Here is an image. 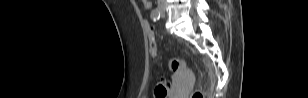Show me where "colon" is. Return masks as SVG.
Instances as JSON below:
<instances>
[{"label": "colon", "instance_id": "colon-1", "mask_svg": "<svg viewBox=\"0 0 308 98\" xmlns=\"http://www.w3.org/2000/svg\"><path fill=\"white\" fill-rule=\"evenodd\" d=\"M143 15L147 14L146 10L142 11ZM145 31H148V40H149V48L151 51V55L154 57L156 55V39L154 35V24H145ZM169 67L173 72L182 71L185 68L184 60L180 58H172L169 61ZM170 85L168 83L162 82L157 85L154 97L155 98H166L169 92ZM190 98H204V93L200 90H195L192 92Z\"/></svg>", "mask_w": 308, "mask_h": 98}]
</instances>
